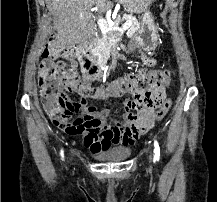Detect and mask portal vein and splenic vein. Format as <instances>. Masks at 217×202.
<instances>
[{
	"label": "portal vein and splenic vein",
	"instance_id": "18ae733b",
	"mask_svg": "<svg viewBox=\"0 0 217 202\" xmlns=\"http://www.w3.org/2000/svg\"><path fill=\"white\" fill-rule=\"evenodd\" d=\"M133 22L131 20H127L125 26H132ZM111 26H114V24H111Z\"/></svg>",
	"mask_w": 217,
	"mask_h": 202
}]
</instances>
